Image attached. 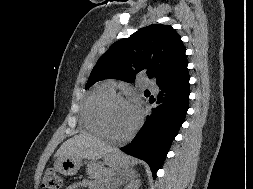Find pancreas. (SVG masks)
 Segmentation results:
<instances>
[{"label": "pancreas", "mask_w": 253, "mask_h": 189, "mask_svg": "<svg viewBox=\"0 0 253 189\" xmlns=\"http://www.w3.org/2000/svg\"><path fill=\"white\" fill-rule=\"evenodd\" d=\"M87 172L92 178L97 179L104 185L109 184L113 175L112 170L98 165H90Z\"/></svg>", "instance_id": "1"}]
</instances>
